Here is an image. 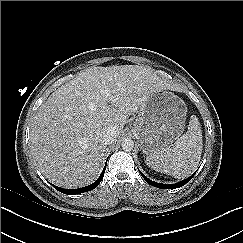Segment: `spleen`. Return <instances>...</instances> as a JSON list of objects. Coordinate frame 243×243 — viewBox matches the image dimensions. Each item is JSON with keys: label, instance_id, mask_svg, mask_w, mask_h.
I'll use <instances>...</instances> for the list:
<instances>
[{"label": "spleen", "instance_id": "spleen-1", "mask_svg": "<svg viewBox=\"0 0 243 243\" xmlns=\"http://www.w3.org/2000/svg\"><path fill=\"white\" fill-rule=\"evenodd\" d=\"M202 153V131L196 116H192L188 131L174 143L156 154L146 157V165L158 172L181 179L198 167Z\"/></svg>", "mask_w": 243, "mask_h": 243}]
</instances>
